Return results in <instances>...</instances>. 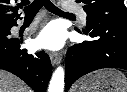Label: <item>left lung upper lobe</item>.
<instances>
[{"label":"left lung upper lobe","instance_id":"left-lung-upper-lobe-1","mask_svg":"<svg viewBox=\"0 0 127 92\" xmlns=\"http://www.w3.org/2000/svg\"><path fill=\"white\" fill-rule=\"evenodd\" d=\"M84 4L87 25L101 22L127 25V9L124 0H76Z\"/></svg>","mask_w":127,"mask_h":92}]
</instances>
